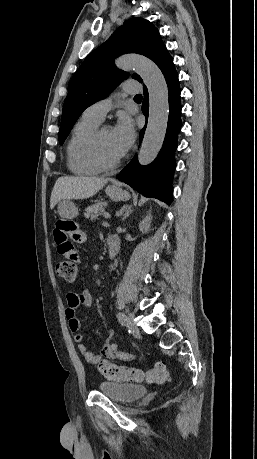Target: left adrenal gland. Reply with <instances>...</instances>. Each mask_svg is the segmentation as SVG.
<instances>
[{
    "instance_id": "a2214340",
    "label": "left adrenal gland",
    "mask_w": 257,
    "mask_h": 459,
    "mask_svg": "<svg viewBox=\"0 0 257 459\" xmlns=\"http://www.w3.org/2000/svg\"><path fill=\"white\" fill-rule=\"evenodd\" d=\"M132 212H133L132 206H129V205L123 206L120 210V214L122 216L121 220L124 221Z\"/></svg>"
}]
</instances>
